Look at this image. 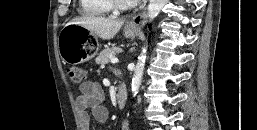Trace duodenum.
<instances>
[{"label": "duodenum", "instance_id": "obj_1", "mask_svg": "<svg viewBox=\"0 0 257 130\" xmlns=\"http://www.w3.org/2000/svg\"><path fill=\"white\" fill-rule=\"evenodd\" d=\"M127 90L124 86H120L117 92V104L120 109L124 108L127 103Z\"/></svg>", "mask_w": 257, "mask_h": 130}]
</instances>
